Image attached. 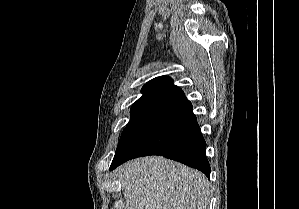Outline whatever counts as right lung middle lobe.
<instances>
[{
	"label": "right lung middle lobe",
	"mask_w": 299,
	"mask_h": 209,
	"mask_svg": "<svg viewBox=\"0 0 299 209\" xmlns=\"http://www.w3.org/2000/svg\"><path fill=\"white\" fill-rule=\"evenodd\" d=\"M158 107L155 104H134L131 108V119L118 143L115 156L121 151L126 143L134 136V134L142 127L146 120L150 117L153 111Z\"/></svg>",
	"instance_id": "obj_1"
}]
</instances>
